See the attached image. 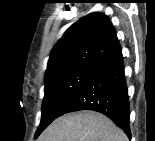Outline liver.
Listing matches in <instances>:
<instances>
[{
    "label": "liver",
    "instance_id": "1",
    "mask_svg": "<svg viewBox=\"0 0 155 141\" xmlns=\"http://www.w3.org/2000/svg\"><path fill=\"white\" fill-rule=\"evenodd\" d=\"M40 141H127L125 133L94 111L68 113L54 120Z\"/></svg>",
    "mask_w": 155,
    "mask_h": 141
}]
</instances>
